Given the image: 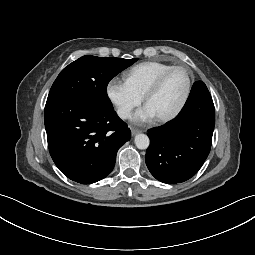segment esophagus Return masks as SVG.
<instances>
[{
    "mask_svg": "<svg viewBox=\"0 0 255 255\" xmlns=\"http://www.w3.org/2000/svg\"><path fill=\"white\" fill-rule=\"evenodd\" d=\"M141 131L139 130V129H135V128H132L131 129V133H132V135L134 136V135H136V134H138V133H140Z\"/></svg>",
    "mask_w": 255,
    "mask_h": 255,
    "instance_id": "obj_1",
    "label": "esophagus"
}]
</instances>
